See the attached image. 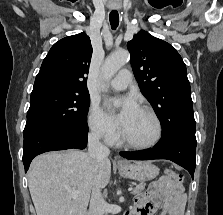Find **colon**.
I'll return each instance as SVG.
<instances>
[{
    "mask_svg": "<svg viewBox=\"0 0 223 215\" xmlns=\"http://www.w3.org/2000/svg\"><path fill=\"white\" fill-rule=\"evenodd\" d=\"M165 174L169 177V178H172L174 179L176 182L180 183L181 182V176L178 175L174 170L170 169V168H167L165 170Z\"/></svg>",
    "mask_w": 223,
    "mask_h": 215,
    "instance_id": "1",
    "label": "colon"
}]
</instances>
